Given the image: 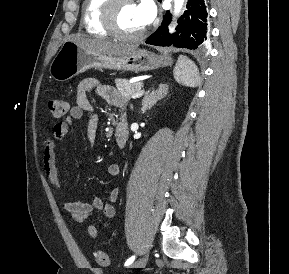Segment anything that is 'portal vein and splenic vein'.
Masks as SVG:
<instances>
[{"instance_id": "obj_1", "label": "portal vein and splenic vein", "mask_w": 289, "mask_h": 274, "mask_svg": "<svg viewBox=\"0 0 289 274\" xmlns=\"http://www.w3.org/2000/svg\"><path fill=\"white\" fill-rule=\"evenodd\" d=\"M143 94H144V91H143V90H142V91H138L137 93L133 94V95L131 96V98H132V99H136V98H138V97H141Z\"/></svg>"}]
</instances>
